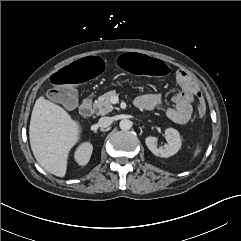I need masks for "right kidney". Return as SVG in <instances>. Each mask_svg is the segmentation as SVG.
Wrapping results in <instances>:
<instances>
[{
    "instance_id": "right-kidney-1",
    "label": "right kidney",
    "mask_w": 241,
    "mask_h": 241,
    "mask_svg": "<svg viewBox=\"0 0 241 241\" xmlns=\"http://www.w3.org/2000/svg\"><path fill=\"white\" fill-rule=\"evenodd\" d=\"M93 151V146L89 142H84L81 145L78 146V148L75 151L74 158L75 161L81 165L85 166L91 157Z\"/></svg>"
}]
</instances>
